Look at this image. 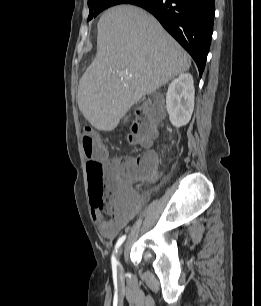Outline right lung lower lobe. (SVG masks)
<instances>
[{"instance_id":"obj_1","label":"right lung lower lobe","mask_w":261,"mask_h":306,"mask_svg":"<svg viewBox=\"0 0 261 306\" xmlns=\"http://www.w3.org/2000/svg\"><path fill=\"white\" fill-rule=\"evenodd\" d=\"M152 13L184 47L203 73L214 21V0H134Z\"/></svg>"}]
</instances>
